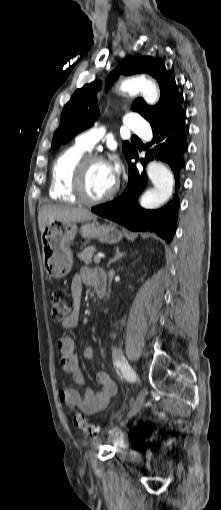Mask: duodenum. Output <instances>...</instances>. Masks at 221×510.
Listing matches in <instances>:
<instances>
[{"mask_svg":"<svg viewBox=\"0 0 221 510\" xmlns=\"http://www.w3.org/2000/svg\"><path fill=\"white\" fill-rule=\"evenodd\" d=\"M94 287L99 297H103L106 292L107 277L102 268H96L93 274Z\"/></svg>","mask_w":221,"mask_h":510,"instance_id":"1","label":"duodenum"}]
</instances>
